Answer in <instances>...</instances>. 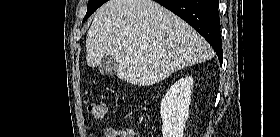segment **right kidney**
Wrapping results in <instances>:
<instances>
[{"instance_id":"right-kidney-1","label":"right kidney","mask_w":280,"mask_h":137,"mask_svg":"<svg viewBox=\"0 0 280 137\" xmlns=\"http://www.w3.org/2000/svg\"><path fill=\"white\" fill-rule=\"evenodd\" d=\"M193 78L186 76L172 85L161 102L163 137H183L189 116Z\"/></svg>"}]
</instances>
